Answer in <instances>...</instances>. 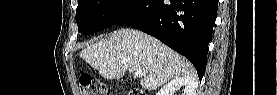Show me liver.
<instances>
[{
	"label": "liver",
	"mask_w": 277,
	"mask_h": 95,
	"mask_svg": "<svg viewBox=\"0 0 277 95\" xmlns=\"http://www.w3.org/2000/svg\"><path fill=\"white\" fill-rule=\"evenodd\" d=\"M80 58L109 80H120L126 71H141L140 84L146 90H155L178 77L194 78V70L185 58L134 29L113 32L84 48Z\"/></svg>",
	"instance_id": "6515ba94"
}]
</instances>
